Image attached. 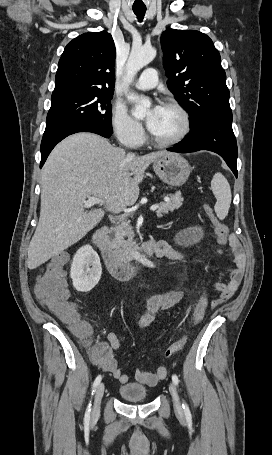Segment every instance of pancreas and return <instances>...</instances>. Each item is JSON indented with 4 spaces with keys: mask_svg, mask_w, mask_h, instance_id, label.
Instances as JSON below:
<instances>
[{
    "mask_svg": "<svg viewBox=\"0 0 272 455\" xmlns=\"http://www.w3.org/2000/svg\"><path fill=\"white\" fill-rule=\"evenodd\" d=\"M168 198V201L159 204L158 217H162V214L172 212L182 205L183 198L180 193L170 194ZM133 246L132 228L127 224L115 226L110 239L107 241V247L116 260L120 263L129 262L131 260L130 250Z\"/></svg>",
    "mask_w": 272,
    "mask_h": 455,
    "instance_id": "1",
    "label": "pancreas"
}]
</instances>
